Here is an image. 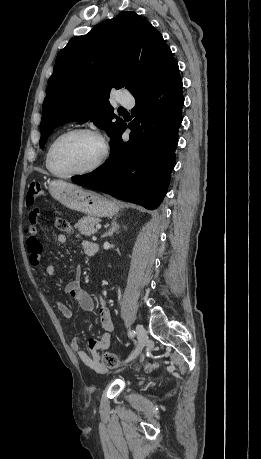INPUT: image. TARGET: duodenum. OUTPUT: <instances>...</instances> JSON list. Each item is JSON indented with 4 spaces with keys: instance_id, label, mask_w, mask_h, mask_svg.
I'll use <instances>...</instances> for the list:
<instances>
[{
    "instance_id": "410a0bca",
    "label": "duodenum",
    "mask_w": 261,
    "mask_h": 459,
    "mask_svg": "<svg viewBox=\"0 0 261 459\" xmlns=\"http://www.w3.org/2000/svg\"><path fill=\"white\" fill-rule=\"evenodd\" d=\"M92 251L94 254L98 251V246L96 244H93Z\"/></svg>"
}]
</instances>
